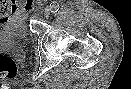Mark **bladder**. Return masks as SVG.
Listing matches in <instances>:
<instances>
[{
    "instance_id": "1",
    "label": "bladder",
    "mask_w": 131,
    "mask_h": 89,
    "mask_svg": "<svg viewBox=\"0 0 131 89\" xmlns=\"http://www.w3.org/2000/svg\"><path fill=\"white\" fill-rule=\"evenodd\" d=\"M28 30L25 14H11L5 20H0V42H8L19 38L25 39Z\"/></svg>"
}]
</instances>
